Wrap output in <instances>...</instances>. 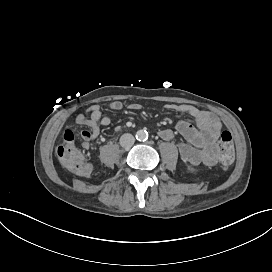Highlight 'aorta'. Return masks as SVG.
<instances>
[{"mask_svg": "<svg viewBox=\"0 0 272 272\" xmlns=\"http://www.w3.org/2000/svg\"><path fill=\"white\" fill-rule=\"evenodd\" d=\"M136 139L138 141H146L148 139V132L145 130H139L136 133Z\"/></svg>", "mask_w": 272, "mask_h": 272, "instance_id": "aorta-1", "label": "aorta"}]
</instances>
